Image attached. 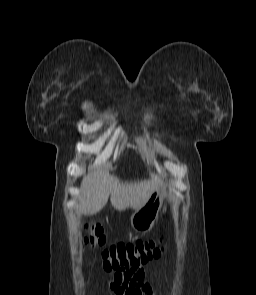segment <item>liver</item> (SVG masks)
Returning <instances> with one entry per match:
<instances>
[{
    "label": "liver",
    "mask_w": 256,
    "mask_h": 295,
    "mask_svg": "<svg viewBox=\"0 0 256 295\" xmlns=\"http://www.w3.org/2000/svg\"><path fill=\"white\" fill-rule=\"evenodd\" d=\"M161 183V178L154 174L150 180L129 183L110 175L108 167L92 171L83 177L77 214L98 213L107 204L109 196L116 210H137L148 201Z\"/></svg>",
    "instance_id": "liver-1"
}]
</instances>
